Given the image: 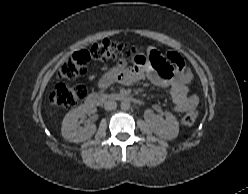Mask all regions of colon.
I'll return each mask as SVG.
<instances>
[{"instance_id":"1","label":"colon","mask_w":248,"mask_h":194,"mask_svg":"<svg viewBox=\"0 0 248 194\" xmlns=\"http://www.w3.org/2000/svg\"><path fill=\"white\" fill-rule=\"evenodd\" d=\"M146 53L157 65L161 64L160 53L156 49L144 50L135 45L120 44L110 40H102L92 45L90 49L76 51L62 63L57 72L58 83L50 93L51 104L69 109L84 98L86 88L83 85H70L69 82L86 73L90 60H135ZM197 118V111L191 109L183 115L182 122L192 126Z\"/></svg>"}]
</instances>
